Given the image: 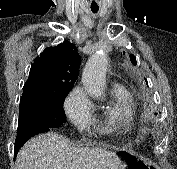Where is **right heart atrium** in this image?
<instances>
[{"instance_id": "d8ad5b80", "label": "right heart atrium", "mask_w": 177, "mask_h": 169, "mask_svg": "<svg viewBox=\"0 0 177 169\" xmlns=\"http://www.w3.org/2000/svg\"><path fill=\"white\" fill-rule=\"evenodd\" d=\"M64 110L71 123L78 129H86L94 120L93 104L84 90L74 88L64 102Z\"/></svg>"}]
</instances>
